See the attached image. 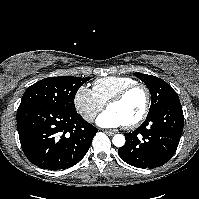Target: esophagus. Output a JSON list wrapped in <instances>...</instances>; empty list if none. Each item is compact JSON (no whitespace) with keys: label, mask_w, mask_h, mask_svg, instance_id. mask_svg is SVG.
I'll return each mask as SVG.
<instances>
[{"label":"esophagus","mask_w":199,"mask_h":199,"mask_svg":"<svg viewBox=\"0 0 199 199\" xmlns=\"http://www.w3.org/2000/svg\"><path fill=\"white\" fill-rule=\"evenodd\" d=\"M104 132H105L106 134H108L109 136H112V135L115 134V132L112 131V130H104Z\"/></svg>","instance_id":"obj_1"}]
</instances>
